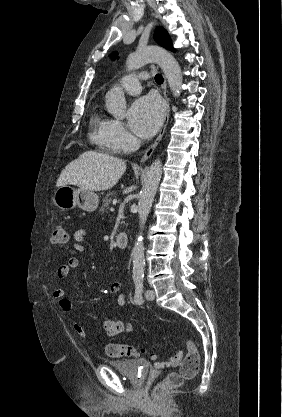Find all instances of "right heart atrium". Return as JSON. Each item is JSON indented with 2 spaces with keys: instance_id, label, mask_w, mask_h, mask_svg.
Segmentation results:
<instances>
[{
  "instance_id": "obj_1",
  "label": "right heart atrium",
  "mask_w": 282,
  "mask_h": 417,
  "mask_svg": "<svg viewBox=\"0 0 282 417\" xmlns=\"http://www.w3.org/2000/svg\"><path fill=\"white\" fill-rule=\"evenodd\" d=\"M113 142L117 150L128 151L132 147L133 137L120 121H115Z\"/></svg>"
}]
</instances>
